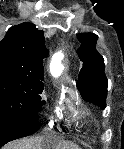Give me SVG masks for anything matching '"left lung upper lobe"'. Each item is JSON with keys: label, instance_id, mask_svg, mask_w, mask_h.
<instances>
[{"label": "left lung upper lobe", "instance_id": "left-lung-upper-lobe-1", "mask_svg": "<svg viewBox=\"0 0 124 149\" xmlns=\"http://www.w3.org/2000/svg\"><path fill=\"white\" fill-rule=\"evenodd\" d=\"M77 36L81 43L78 54L83 62L77 82L78 89L86 101L104 109L108 82L104 73V59L96 50L98 36L93 33Z\"/></svg>", "mask_w": 124, "mask_h": 149}]
</instances>
